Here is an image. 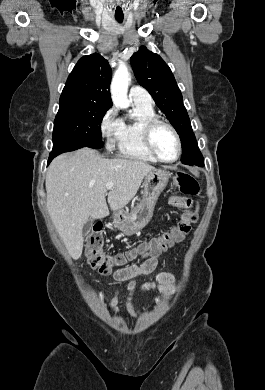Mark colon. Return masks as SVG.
<instances>
[{"label": "colon", "mask_w": 265, "mask_h": 390, "mask_svg": "<svg viewBox=\"0 0 265 390\" xmlns=\"http://www.w3.org/2000/svg\"><path fill=\"white\" fill-rule=\"evenodd\" d=\"M174 183L185 196L192 197L199 193L198 181L186 172H179L174 179ZM196 212L195 205L183 212L176 225L168 232L153 238L149 246L140 255L151 256L171 243L183 240L197 219ZM103 246L102 227L100 224H95L86 240V256L91 267L98 269L102 275H108L112 272L113 267L123 265L126 260L122 255L112 257L105 254Z\"/></svg>", "instance_id": "obj_1"}]
</instances>
